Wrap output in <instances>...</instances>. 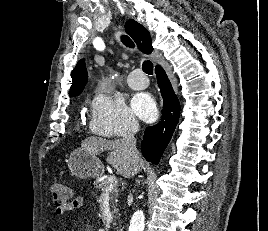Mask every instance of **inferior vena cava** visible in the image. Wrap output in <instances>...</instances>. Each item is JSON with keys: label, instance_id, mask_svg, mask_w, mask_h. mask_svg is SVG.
Masks as SVG:
<instances>
[{"label": "inferior vena cava", "instance_id": "inferior-vena-cava-1", "mask_svg": "<svg viewBox=\"0 0 268 231\" xmlns=\"http://www.w3.org/2000/svg\"><path fill=\"white\" fill-rule=\"evenodd\" d=\"M139 130V124L137 122H133L123 138L126 149L128 150L132 162H138L140 160L139 152L136 148V139L134 135Z\"/></svg>", "mask_w": 268, "mask_h": 231}]
</instances>
